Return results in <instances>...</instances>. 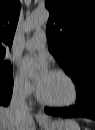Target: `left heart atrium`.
Listing matches in <instances>:
<instances>
[{
  "mask_svg": "<svg viewBox=\"0 0 95 130\" xmlns=\"http://www.w3.org/2000/svg\"><path fill=\"white\" fill-rule=\"evenodd\" d=\"M37 68L39 73L36 76V84L40 87L51 73L47 67L46 60L37 56H27L22 60L21 69L25 75L31 76Z\"/></svg>",
  "mask_w": 95,
  "mask_h": 130,
  "instance_id": "obj_1",
  "label": "left heart atrium"
}]
</instances>
